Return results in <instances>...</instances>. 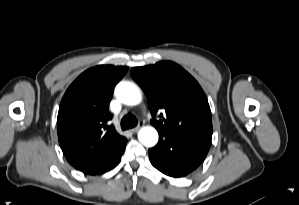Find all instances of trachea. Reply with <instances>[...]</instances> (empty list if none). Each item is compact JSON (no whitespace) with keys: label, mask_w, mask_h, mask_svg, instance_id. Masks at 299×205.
<instances>
[{"label":"trachea","mask_w":299,"mask_h":205,"mask_svg":"<svg viewBox=\"0 0 299 205\" xmlns=\"http://www.w3.org/2000/svg\"><path fill=\"white\" fill-rule=\"evenodd\" d=\"M138 124V120L132 114L125 115L121 120V128L123 130L133 128Z\"/></svg>","instance_id":"3493384b"}]
</instances>
